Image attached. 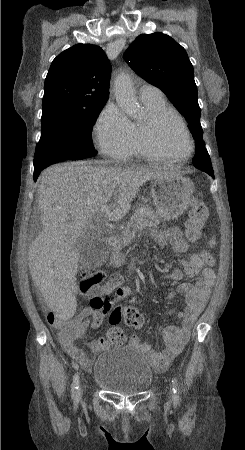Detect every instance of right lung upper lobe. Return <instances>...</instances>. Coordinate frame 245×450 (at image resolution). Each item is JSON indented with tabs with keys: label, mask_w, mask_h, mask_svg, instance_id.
I'll use <instances>...</instances> for the list:
<instances>
[{
	"label": "right lung upper lobe",
	"mask_w": 245,
	"mask_h": 450,
	"mask_svg": "<svg viewBox=\"0 0 245 450\" xmlns=\"http://www.w3.org/2000/svg\"><path fill=\"white\" fill-rule=\"evenodd\" d=\"M111 64L103 50L77 44L52 62L44 84L42 108L93 109L109 97Z\"/></svg>",
	"instance_id": "1"
}]
</instances>
